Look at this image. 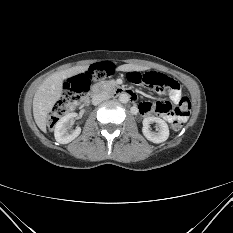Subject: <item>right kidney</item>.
I'll use <instances>...</instances> for the list:
<instances>
[{"label": "right kidney", "instance_id": "obj_1", "mask_svg": "<svg viewBox=\"0 0 233 233\" xmlns=\"http://www.w3.org/2000/svg\"><path fill=\"white\" fill-rule=\"evenodd\" d=\"M76 113H69L63 116L56 124L54 130V136L58 143L67 144L73 141L81 133V128L77 127L73 131H69L71 128V121L77 118Z\"/></svg>", "mask_w": 233, "mask_h": 233}]
</instances>
